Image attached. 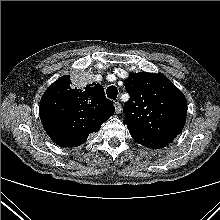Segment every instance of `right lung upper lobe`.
I'll list each match as a JSON object with an SVG mask.
<instances>
[{"label": "right lung upper lobe", "mask_w": 220, "mask_h": 220, "mask_svg": "<svg viewBox=\"0 0 220 220\" xmlns=\"http://www.w3.org/2000/svg\"><path fill=\"white\" fill-rule=\"evenodd\" d=\"M112 104L100 84L77 89L70 76L63 75L43 94L39 114L44 129L57 145L76 147L113 115Z\"/></svg>", "instance_id": "right-lung-upper-lobe-1"}]
</instances>
